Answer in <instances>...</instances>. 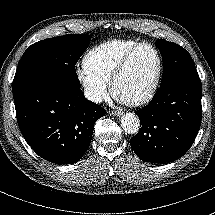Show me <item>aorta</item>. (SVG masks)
Wrapping results in <instances>:
<instances>
[{
	"label": "aorta",
	"instance_id": "762f6f07",
	"mask_svg": "<svg viewBox=\"0 0 215 215\" xmlns=\"http://www.w3.org/2000/svg\"><path fill=\"white\" fill-rule=\"evenodd\" d=\"M121 126L128 134H135L140 127V120L134 113H127L121 118Z\"/></svg>",
	"mask_w": 215,
	"mask_h": 215
}]
</instances>
